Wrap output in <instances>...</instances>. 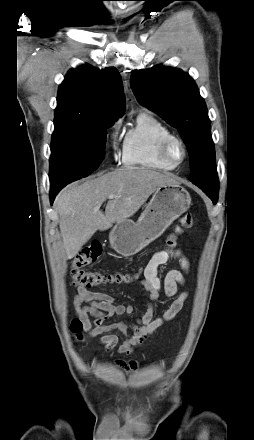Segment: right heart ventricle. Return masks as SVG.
Segmentation results:
<instances>
[{
  "label": "right heart ventricle",
  "mask_w": 254,
  "mask_h": 440,
  "mask_svg": "<svg viewBox=\"0 0 254 440\" xmlns=\"http://www.w3.org/2000/svg\"><path fill=\"white\" fill-rule=\"evenodd\" d=\"M172 134L170 129L154 115L141 112L135 125L124 137L122 163L125 167L168 172L175 167L165 163L158 155L160 141Z\"/></svg>",
  "instance_id": "e07e8e85"
}]
</instances>
